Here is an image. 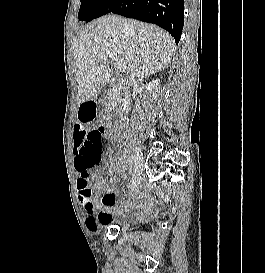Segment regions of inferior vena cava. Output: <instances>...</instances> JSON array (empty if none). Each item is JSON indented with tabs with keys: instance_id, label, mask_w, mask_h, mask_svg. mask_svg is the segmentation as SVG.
<instances>
[{
	"instance_id": "inferior-vena-cava-1",
	"label": "inferior vena cava",
	"mask_w": 265,
	"mask_h": 273,
	"mask_svg": "<svg viewBox=\"0 0 265 273\" xmlns=\"http://www.w3.org/2000/svg\"><path fill=\"white\" fill-rule=\"evenodd\" d=\"M130 105H131L130 95L128 93H126L125 98L123 100L122 112L128 113V111L130 109Z\"/></svg>"
}]
</instances>
